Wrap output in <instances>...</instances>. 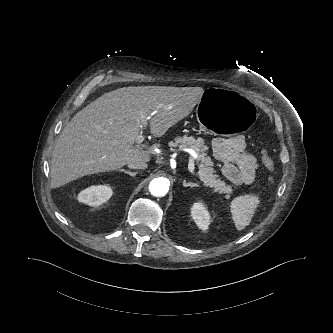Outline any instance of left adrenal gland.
Wrapping results in <instances>:
<instances>
[{"mask_svg":"<svg viewBox=\"0 0 333 333\" xmlns=\"http://www.w3.org/2000/svg\"><path fill=\"white\" fill-rule=\"evenodd\" d=\"M183 186L184 187H199V185L198 184H196V183H192V182H186V180H183Z\"/></svg>","mask_w":333,"mask_h":333,"instance_id":"1","label":"left adrenal gland"}]
</instances>
